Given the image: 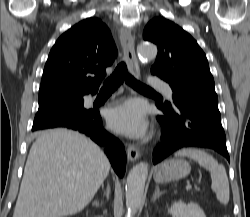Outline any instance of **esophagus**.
Segmentation results:
<instances>
[{"instance_id": "1", "label": "esophagus", "mask_w": 250, "mask_h": 217, "mask_svg": "<svg viewBox=\"0 0 250 217\" xmlns=\"http://www.w3.org/2000/svg\"><path fill=\"white\" fill-rule=\"evenodd\" d=\"M120 40L123 48L124 58L128 65V69L135 78H139L140 69L135 53V38L128 28H121ZM127 156L129 161L135 162L140 157V151L136 146L130 144L127 148Z\"/></svg>"}]
</instances>
